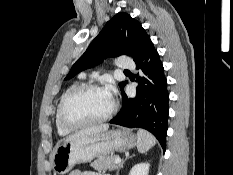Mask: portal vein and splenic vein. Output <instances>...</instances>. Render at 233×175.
<instances>
[{"label":"portal vein and splenic vein","mask_w":233,"mask_h":175,"mask_svg":"<svg viewBox=\"0 0 233 175\" xmlns=\"http://www.w3.org/2000/svg\"><path fill=\"white\" fill-rule=\"evenodd\" d=\"M120 162H121V158H120V157H117V158L115 159V161H114L115 164H118V163H120Z\"/></svg>","instance_id":"obj_1"}]
</instances>
